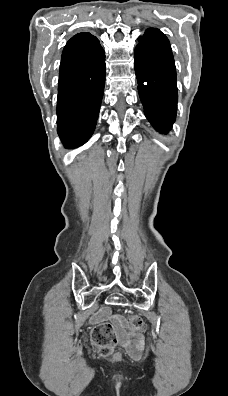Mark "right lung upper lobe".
I'll list each match as a JSON object with an SVG mask.
<instances>
[{
	"mask_svg": "<svg viewBox=\"0 0 228 396\" xmlns=\"http://www.w3.org/2000/svg\"><path fill=\"white\" fill-rule=\"evenodd\" d=\"M72 39H75L77 47L81 46V49L93 48L97 42V38L90 33H79Z\"/></svg>",
	"mask_w": 228,
	"mask_h": 396,
	"instance_id": "right-lung-upper-lobe-1",
	"label": "right lung upper lobe"
}]
</instances>
